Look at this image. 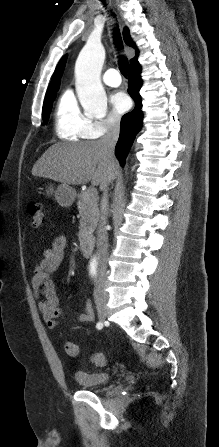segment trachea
I'll return each instance as SVG.
<instances>
[{"label":"trachea","mask_w":219,"mask_h":447,"mask_svg":"<svg viewBox=\"0 0 219 447\" xmlns=\"http://www.w3.org/2000/svg\"><path fill=\"white\" fill-rule=\"evenodd\" d=\"M114 42H115L117 48L122 49V39H121L120 31L118 30V28H115V31H114ZM127 69H128V59L123 58V57L120 58L119 70L124 77H127Z\"/></svg>","instance_id":"1"}]
</instances>
